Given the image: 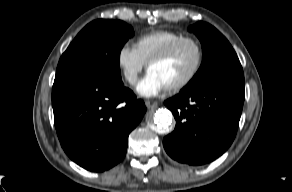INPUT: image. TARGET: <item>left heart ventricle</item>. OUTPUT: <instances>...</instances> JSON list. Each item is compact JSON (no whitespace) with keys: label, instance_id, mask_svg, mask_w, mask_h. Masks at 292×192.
<instances>
[{"label":"left heart ventricle","instance_id":"left-heart-ventricle-1","mask_svg":"<svg viewBox=\"0 0 292 192\" xmlns=\"http://www.w3.org/2000/svg\"><path fill=\"white\" fill-rule=\"evenodd\" d=\"M197 61V51L189 43L182 45L172 57L149 68L167 87L187 77Z\"/></svg>","mask_w":292,"mask_h":192}]
</instances>
